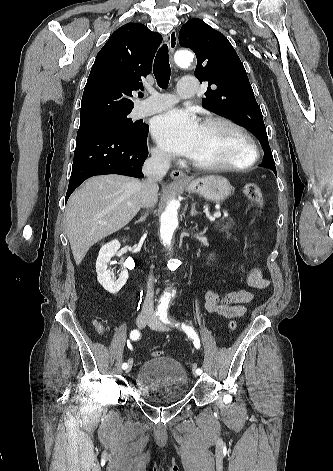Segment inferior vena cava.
Instances as JSON below:
<instances>
[{
    "mask_svg": "<svg viewBox=\"0 0 333 471\" xmlns=\"http://www.w3.org/2000/svg\"><path fill=\"white\" fill-rule=\"evenodd\" d=\"M171 155L164 151H153L151 157L148 158L142 168L146 180L141 184V206L150 208L157 202L158 185L157 182L166 175L170 166ZM153 278L149 276L147 283V294L143 303V313H153Z\"/></svg>",
    "mask_w": 333,
    "mask_h": 471,
    "instance_id": "602c4592",
    "label": "inferior vena cava"
}]
</instances>
